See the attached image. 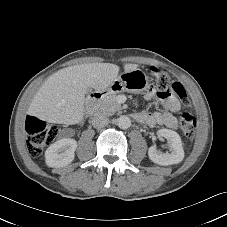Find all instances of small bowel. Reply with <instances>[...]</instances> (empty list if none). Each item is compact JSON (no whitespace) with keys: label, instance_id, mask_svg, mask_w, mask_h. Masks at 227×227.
Wrapping results in <instances>:
<instances>
[{"label":"small bowel","instance_id":"1","mask_svg":"<svg viewBox=\"0 0 227 227\" xmlns=\"http://www.w3.org/2000/svg\"><path fill=\"white\" fill-rule=\"evenodd\" d=\"M145 99L148 101L154 99L156 102H161L163 110L141 113V123L148 126L164 125L171 129L177 127V119L174 113L180 110L181 105L171 90L156 89L155 91H149L145 94Z\"/></svg>","mask_w":227,"mask_h":227}]
</instances>
